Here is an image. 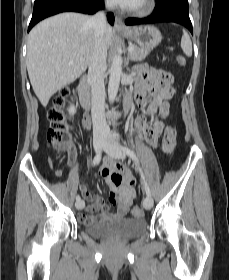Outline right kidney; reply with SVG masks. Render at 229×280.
Wrapping results in <instances>:
<instances>
[{"label": "right kidney", "mask_w": 229, "mask_h": 280, "mask_svg": "<svg viewBox=\"0 0 229 280\" xmlns=\"http://www.w3.org/2000/svg\"><path fill=\"white\" fill-rule=\"evenodd\" d=\"M68 111H69V114H75V112H76V108L74 107V106H70L69 107V109H68Z\"/></svg>", "instance_id": "ca27d5eb"}]
</instances>
